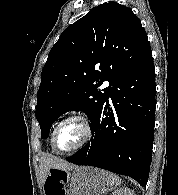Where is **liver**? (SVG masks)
I'll return each instance as SVG.
<instances>
[{
    "label": "liver",
    "mask_w": 178,
    "mask_h": 195,
    "mask_svg": "<svg viewBox=\"0 0 178 195\" xmlns=\"http://www.w3.org/2000/svg\"><path fill=\"white\" fill-rule=\"evenodd\" d=\"M74 166L68 162L50 155H43L41 158V170L43 173V181L48 175L51 168L72 169Z\"/></svg>",
    "instance_id": "1"
}]
</instances>
